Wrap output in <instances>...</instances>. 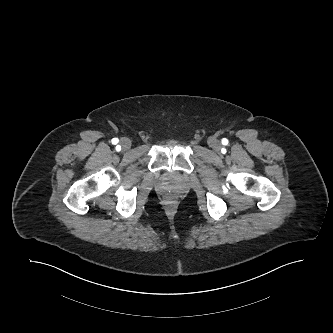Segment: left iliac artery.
<instances>
[{
  "label": "left iliac artery",
  "instance_id": "obj_1",
  "mask_svg": "<svg viewBox=\"0 0 333 333\" xmlns=\"http://www.w3.org/2000/svg\"><path fill=\"white\" fill-rule=\"evenodd\" d=\"M224 142H227V139H223V143H224Z\"/></svg>",
  "mask_w": 333,
  "mask_h": 333
}]
</instances>
